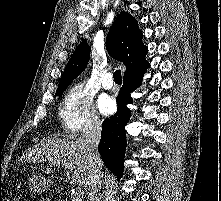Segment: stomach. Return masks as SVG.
<instances>
[{"instance_id": "stomach-1", "label": "stomach", "mask_w": 221, "mask_h": 201, "mask_svg": "<svg viewBox=\"0 0 221 201\" xmlns=\"http://www.w3.org/2000/svg\"><path fill=\"white\" fill-rule=\"evenodd\" d=\"M50 186V181L39 174H34L30 178L29 188L34 194H41Z\"/></svg>"}]
</instances>
